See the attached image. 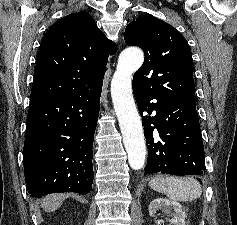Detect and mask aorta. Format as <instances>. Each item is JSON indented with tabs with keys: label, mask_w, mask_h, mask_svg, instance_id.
I'll list each match as a JSON object with an SVG mask.
<instances>
[{
	"label": "aorta",
	"mask_w": 237,
	"mask_h": 225,
	"mask_svg": "<svg viewBox=\"0 0 237 225\" xmlns=\"http://www.w3.org/2000/svg\"><path fill=\"white\" fill-rule=\"evenodd\" d=\"M144 54L138 48L125 49L119 56L111 81V96L132 169L144 167L146 144L143 127L132 94V76L141 67Z\"/></svg>",
	"instance_id": "762f6f07"
}]
</instances>
